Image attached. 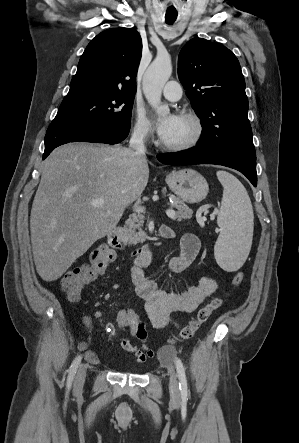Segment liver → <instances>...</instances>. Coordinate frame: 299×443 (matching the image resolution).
<instances>
[{
	"label": "liver",
	"mask_w": 299,
	"mask_h": 443,
	"mask_svg": "<svg viewBox=\"0 0 299 443\" xmlns=\"http://www.w3.org/2000/svg\"><path fill=\"white\" fill-rule=\"evenodd\" d=\"M149 178L146 157L122 146L70 143L44 161L30 231L36 270L60 278L97 240L112 232ZM102 198L103 206L91 202Z\"/></svg>",
	"instance_id": "1"
}]
</instances>
